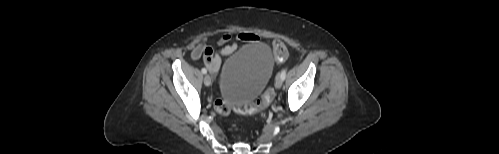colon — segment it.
I'll use <instances>...</instances> for the list:
<instances>
[{
  "instance_id": "1",
  "label": "colon",
  "mask_w": 499,
  "mask_h": 154,
  "mask_svg": "<svg viewBox=\"0 0 499 154\" xmlns=\"http://www.w3.org/2000/svg\"><path fill=\"white\" fill-rule=\"evenodd\" d=\"M274 58L277 62H283L288 57V51L286 46L280 42L275 41L273 45ZM198 53L203 55L204 61H209L214 51L211 48L200 47ZM273 92L267 89L260 100L257 102H250L243 105H232L226 102L224 99L216 100L214 104V109L219 115H228L231 112H236L244 115H254L266 110L273 100Z\"/></svg>"
}]
</instances>
